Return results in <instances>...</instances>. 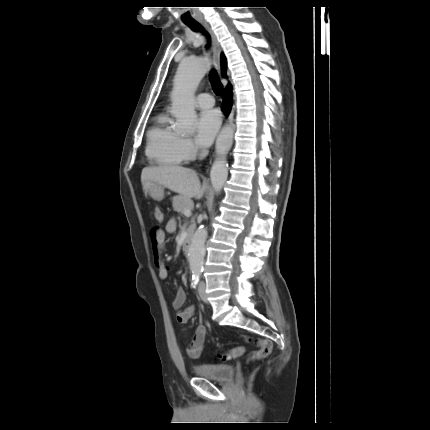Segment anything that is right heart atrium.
<instances>
[{
    "label": "right heart atrium",
    "mask_w": 430,
    "mask_h": 430,
    "mask_svg": "<svg viewBox=\"0 0 430 430\" xmlns=\"http://www.w3.org/2000/svg\"><path fill=\"white\" fill-rule=\"evenodd\" d=\"M180 149L186 159L193 158L198 152V147L191 139L186 137L180 139Z\"/></svg>",
    "instance_id": "1"
}]
</instances>
